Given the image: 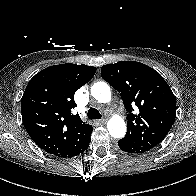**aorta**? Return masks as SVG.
I'll list each match as a JSON object with an SVG mask.
<instances>
[{
	"label": "aorta",
	"mask_w": 196,
	"mask_h": 196,
	"mask_svg": "<svg viewBox=\"0 0 196 196\" xmlns=\"http://www.w3.org/2000/svg\"><path fill=\"white\" fill-rule=\"evenodd\" d=\"M91 95L100 103H109L111 100V90L105 82L94 83ZM107 129L113 138H122L126 133V124L122 117L116 115L108 121Z\"/></svg>",
	"instance_id": "aorta-1"
}]
</instances>
